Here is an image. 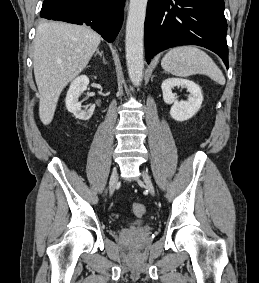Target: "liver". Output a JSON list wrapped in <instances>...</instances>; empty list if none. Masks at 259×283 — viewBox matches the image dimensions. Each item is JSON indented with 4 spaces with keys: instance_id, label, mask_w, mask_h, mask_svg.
<instances>
[{
    "instance_id": "1",
    "label": "liver",
    "mask_w": 259,
    "mask_h": 283,
    "mask_svg": "<svg viewBox=\"0 0 259 283\" xmlns=\"http://www.w3.org/2000/svg\"><path fill=\"white\" fill-rule=\"evenodd\" d=\"M100 41V35L84 25L43 21L37 27L33 67L44 125L51 123L62 90L84 70Z\"/></svg>"
}]
</instances>
